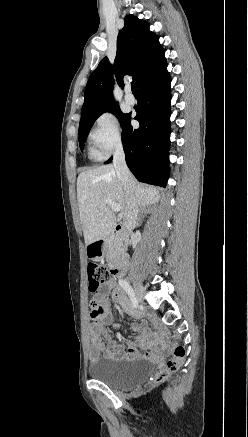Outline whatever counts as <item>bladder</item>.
Segmentation results:
<instances>
[{"label":"bladder","instance_id":"bladder-1","mask_svg":"<svg viewBox=\"0 0 248 437\" xmlns=\"http://www.w3.org/2000/svg\"><path fill=\"white\" fill-rule=\"evenodd\" d=\"M155 369L154 363L147 359L103 358L90 370V374L93 379L112 388H126L146 381Z\"/></svg>","mask_w":248,"mask_h":437}]
</instances>
